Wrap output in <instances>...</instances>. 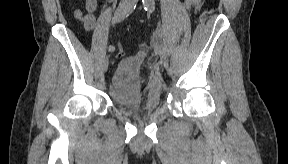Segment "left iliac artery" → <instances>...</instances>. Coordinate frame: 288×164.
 I'll return each mask as SVG.
<instances>
[{"label":"left iliac artery","instance_id":"obj_1","mask_svg":"<svg viewBox=\"0 0 288 164\" xmlns=\"http://www.w3.org/2000/svg\"><path fill=\"white\" fill-rule=\"evenodd\" d=\"M142 3H143V6H144V9L146 11H149V12H153L154 11V9H155L154 0H142ZM159 50H160L161 55H163L164 52H165V47H164L163 44L159 45Z\"/></svg>","mask_w":288,"mask_h":164}]
</instances>
